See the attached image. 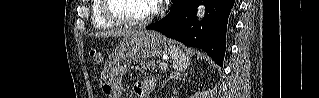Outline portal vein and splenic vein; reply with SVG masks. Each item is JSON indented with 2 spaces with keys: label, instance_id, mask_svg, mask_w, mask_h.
I'll return each instance as SVG.
<instances>
[{
  "label": "portal vein and splenic vein",
  "instance_id": "portal-vein-and-splenic-vein-1",
  "mask_svg": "<svg viewBox=\"0 0 319 98\" xmlns=\"http://www.w3.org/2000/svg\"><path fill=\"white\" fill-rule=\"evenodd\" d=\"M159 68H160V70H162V71H166V70H167V64H166V63H160V64H159Z\"/></svg>",
  "mask_w": 319,
  "mask_h": 98
}]
</instances>
